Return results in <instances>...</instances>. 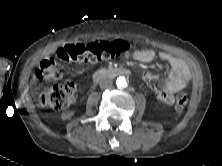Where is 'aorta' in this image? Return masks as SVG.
<instances>
[{"label":"aorta","mask_w":222,"mask_h":166,"mask_svg":"<svg viewBox=\"0 0 222 166\" xmlns=\"http://www.w3.org/2000/svg\"><path fill=\"white\" fill-rule=\"evenodd\" d=\"M116 84L120 88L126 87L127 86V82H126L125 77H118L117 80H116Z\"/></svg>","instance_id":"1"}]
</instances>
